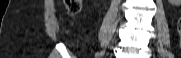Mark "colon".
I'll return each instance as SVG.
<instances>
[{
    "mask_svg": "<svg viewBox=\"0 0 181 58\" xmlns=\"http://www.w3.org/2000/svg\"><path fill=\"white\" fill-rule=\"evenodd\" d=\"M65 6L68 10V13L71 16H75L81 10V1L80 0H65ZM178 32L180 36V43H181V18L178 21Z\"/></svg>",
    "mask_w": 181,
    "mask_h": 58,
    "instance_id": "1",
    "label": "colon"
}]
</instances>
